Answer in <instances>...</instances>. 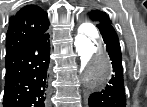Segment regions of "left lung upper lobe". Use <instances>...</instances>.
<instances>
[{
  "mask_svg": "<svg viewBox=\"0 0 147 107\" xmlns=\"http://www.w3.org/2000/svg\"><path fill=\"white\" fill-rule=\"evenodd\" d=\"M88 18L97 24L100 25H111L110 19L107 17L106 13L100 10H91L87 13Z\"/></svg>",
  "mask_w": 147,
  "mask_h": 107,
  "instance_id": "obj_1",
  "label": "left lung upper lobe"
}]
</instances>
